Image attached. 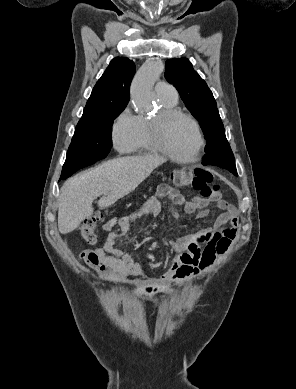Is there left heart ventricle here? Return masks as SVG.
I'll list each match as a JSON object with an SVG mask.
<instances>
[{"label":"left heart ventricle","instance_id":"obj_1","mask_svg":"<svg viewBox=\"0 0 296 389\" xmlns=\"http://www.w3.org/2000/svg\"><path fill=\"white\" fill-rule=\"evenodd\" d=\"M167 147L180 157L191 156L198 144V138L194 126L184 118L171 121L165 131Z\"/></svg>","mask_w":296,"mask_h":389}]
</instances>
